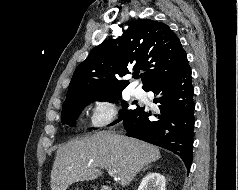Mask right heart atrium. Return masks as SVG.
<instances>
[{"instance_id": "right-heart-atrium-1", "label": "right heart atrium", "mask_w": 238, "mask_h": 190, "mask_svg": "<svg viewBox=\"0 0 238 190\" xmlns=\"http://www.w3.org/2000/svg\"><path fill=\"white\" fill-rule=\"evenodd\" d=\"M117 105L107 98H96L90 108V124L93 128H103L118 117Z\"/></svg>"}]
</instances>
